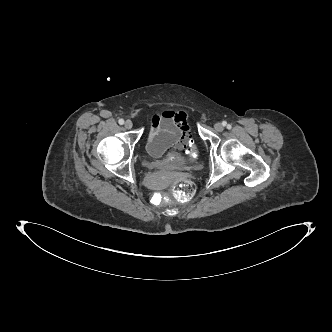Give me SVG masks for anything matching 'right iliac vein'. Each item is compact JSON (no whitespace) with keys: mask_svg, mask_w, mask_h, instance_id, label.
<instances>
[{"mask_svg":"<svg viewBox=\"0 0 332 332\" xmlns=\"http://www.w3.org/2000/svg\"><path fill=\"white\" fill-rule=\"evenodd\" d=\"M126 129H131L133 127V123L131 120H127L124 124Z\"/></svg>","mask_w":332,"mask_h":332,"instance_id":"obj_1","label":"right iliac vein"}]
</instances>
